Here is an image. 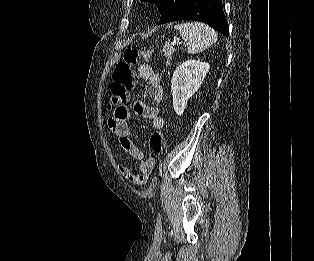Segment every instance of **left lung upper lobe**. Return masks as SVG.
<instances>
[{
    "instance_id": "1",
    "label": "left lung upper lobe",
    "mask_w": 314,
    "mask_h": 261,
    "mask_svg": "<svg viewBox=\"0 0 314 261\" xmlns=\"http://www.w3.org/2000/svg\"><path fill=\"white\" fill-rule=\"evenodd\" d=\"M154 2L161 13L160 24L170 21L184 0H143Z\"/></svg>"
}]
</instances>
